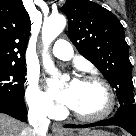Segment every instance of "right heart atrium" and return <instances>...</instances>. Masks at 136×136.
<instances>
[{
	"label": "right heart atrium",
	"instance_id": "d8ad5b80",
	"mask_svg": "<svg viewBox=\"0 0 136 136\" xmlns=\"http://www.w3.org/2000/svg\"><path fill=\"white\" fill-rule=\"evenodd\" d=\"M25 101L31 111L42 116L53 117L59 112L50 96L42 90L35 74L27 75Z\"/></svg>",
	"mask_w": 136,
	"mask_h": 136
}]
</instances>
